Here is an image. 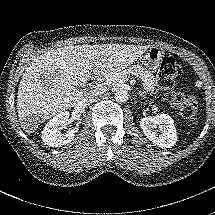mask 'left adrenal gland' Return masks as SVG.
I'll use <instances>...</instances> for the list:
<instances>
[{
  "mask_svg": "<svg viewBox=\"0 0 215 215\" xmlns=\"http://www.w3.org/2000/svg\"><path fill=\"white\" fill-rule=\"evenodd\" d=\"M137 94L139 97L146 96L143 92H138Z\"/></svg>",
  "mask_w": 215,
  "mask_h": 215,
  "instance_id": "obj_1",
  "label": "left adrenal gland"
}]
</instances>
